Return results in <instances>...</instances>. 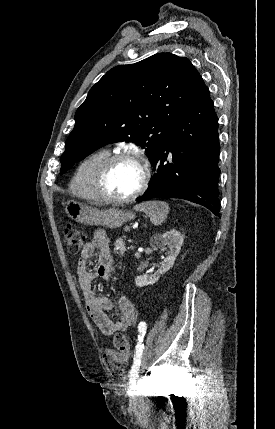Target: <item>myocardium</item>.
Returning <instances> with one entry per match:
<instances>
[{
    "instance_id": "1",
    "label": "myocardium",
    "mask_w": 275,
    "mask_h": 429,
    "mask_svg": "<svg viewBox=\"0 0 275 429\" xmlns=\"http://www.w3.org/2000/svg\"><path fill=\"white\" fill-rule=\"evenodd\" d=\"M122 160H132L139 164L142 178L138 188L129 196L115 197L110 195L105 188V181L112 166ZM150 178V167L147 160L134 151H122L109 155L98 167L93 178V189L98 199L116 204L129 203L141 196L148 186Z\"/></svg>"
}]
</instances>
